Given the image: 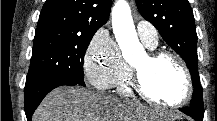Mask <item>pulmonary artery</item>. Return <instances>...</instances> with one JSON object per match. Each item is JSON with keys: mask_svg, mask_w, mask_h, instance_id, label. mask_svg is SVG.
I'll list each match as a JSON object with an SVG mask.
<instances>
[{"mask_svg": "<svg viewBox=\"0 0 217 121\" xmlns=\"http://www.w3.org/2000/svg\"><path fill=\"white\" fill-rule=\"evenodd\" d=\"M139 38L148 46H156L158 43V32L156 28L148 21L141 20L136 24Z\"/></svg>", "mask_w": 217, "mask_h": 121, "instance_id": "obj_1", "label": "pulmonary artery"}]
</instances>
